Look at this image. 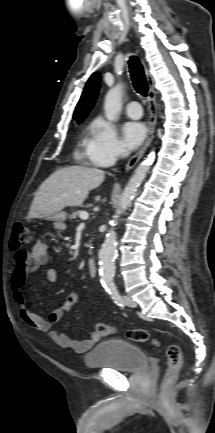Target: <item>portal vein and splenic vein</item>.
I'll list each match as a JSON object with an SVG mask.
<instances>
[{
  "mask_svg": "<svg viewBox=\"0 0 215 433\" xmlns=\"http://www.w3.org/2000/svg\"><path fill=\"white\" fill-rule=\"evenodd\" d=\"M88 217H89V215H88L87 212H83V213L80 214V218H81L82 220H87Z\"/></svg>",
  "mask_w": 215,
  "mask_h": 433,
  "instance_id": "1",
  "label": "portal vein and splenic vein"
}]
</instances>
